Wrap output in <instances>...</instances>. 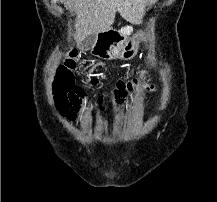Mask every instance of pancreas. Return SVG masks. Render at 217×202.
Segmentation results:
<instances>
[{
  "label": "pancreas",
  "instance_id": "obj_1",
  "mask_svg": "<svg viewBox=\"0 0 217 202\" xmlns=\"http://www.w3.org/2000/svg\"><path fill=\"white\" fill-rule=\"evenodd\" d=\"M128 27H131V26H128ZM128 27H125V28H122V29H125V30L131 29V28H128ZM121 32H123V31H121ZM124 32H128V31H124Z\"/></svg>",
  "mask_w": 217,
  "mask_h": 202
}]
</instances>
